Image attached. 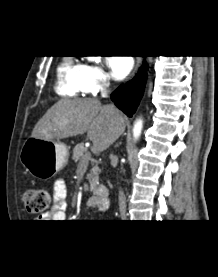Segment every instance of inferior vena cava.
I'll list each match as a JSON object with an SVG mask.
<instances>
[{
	"label": "inferior vena cava",
	"mask_w": 218,
	"mask_h": 277,
	"mask_svg": "<svg viewBox=\"0 0 218 277\" xmlns=\"http://www.w3.org/2000/svg\"><path fill=\"white\" fill-rule=\"evenodd\" d=\"M109 94V83L104 82L101 85V96L103 98L108 97ZM113 106V105H110ZM119 211H120V217L124 220L126 219V197L124 195V192L122 190L119 191Z\"/></svg>",
	"instance_id": "obj_1"
}]
</instances>
